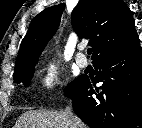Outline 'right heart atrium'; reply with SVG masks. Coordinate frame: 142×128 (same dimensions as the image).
<instances>
[{
    "instance_id": "obj_1",
    "label": "right heart atrium",
    "mask_w": 142,
    "mask_h": 128,
    "mask_svg": "<svg viewBox=\"0 0 142 128\" xmlns=\"http://www.w3.org/2000/svg\"><path fill=\"white\" fill-rule=\"evenodd\" d=\"M39 89L46 94L57 90L60 84V68L55 59L47 58L37 72Z\"/></svg>"
}]
</instances>
